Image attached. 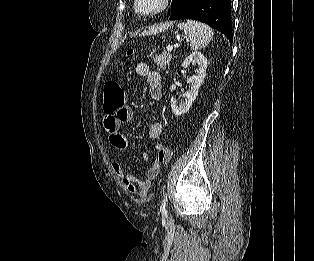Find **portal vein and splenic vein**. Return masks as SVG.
Instances as JSON below:
<instances>
[{"instance_id":"1","label":"portal vein and splenic vein","mask_w":314,"mask_h":261,"mask_svg":"<svg viewBox=\"0 0 314 261\" xmlns=\"http://www.w3.org/2000/svg\"><path fill=\"white\" fill-rule=\"evenodd\" d=\"M167 51H172V47L171 46H167Z\"/></svg>"}]
</instances>
